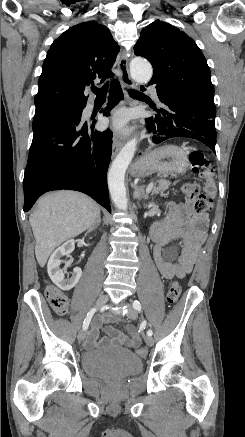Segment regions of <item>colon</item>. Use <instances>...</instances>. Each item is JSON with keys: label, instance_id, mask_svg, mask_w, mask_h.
<instances>
[{"label": "colon", "instance_id": "1", "mask_svg": "<svg viewBox=\"0 0 245 437\" xmlns=\"http://www.w3.org/2000/svg\"><path fill=\"white\" fill-rule=\"evenodd\" d=\"M189 160L193 171L205 180L204 193L199 191V188L195 184H185L182 187V192L186 196L187 200L194 204V207L199 212H208L212 209L213 199L216 194V186L213 180V169L205 157L200 151H192L189 155ZM181 294L180 285L173 281L169 284L167 290V301L170 304H175ZM46 298L53 308V310L59 314L64 315L69 308V299L66 294L55 286L49 285L46 289ZM136 353L144 357L147 354L145 347L138 346Z\"/></svg>", "mask_w": 245, "mask_h": 437}]
</instances>
